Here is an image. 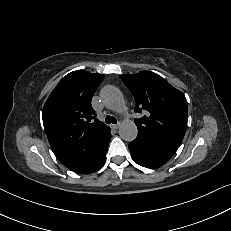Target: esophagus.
Returning <instances> with one entry per match:
<instances>
[{"label":"esophagus","instance_id":"obj_1","mask_svg":"<svg viewBox=\"0 0 231 231\" xmlns=\"http://www.w3.org/2000/svg\"><path fill=\"white\" fill-rule=\"evenodd\" d=\"M120 127V124H111V128L118 129Z\"/></svg>","mask_w":231,"mask_h":231}]
</instances>
